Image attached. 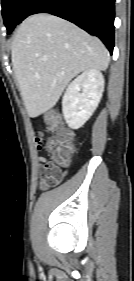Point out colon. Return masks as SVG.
<instances>
[{
	"mask_svg": "<svg viewBox=\"0 0 134 281\" xmlns=\"http://www.w3.org/2000/svg\"><path fill=\"white\" fill-rule=\"evenodd\" d=\"M46 123L54 134L47 142V150L53 161L65 170L74 151L73 134L64 127L60 115L54 111L47 113Z\"/></svg>",
	"mask_w": 134,
	"mask_h": 281,
	"instance_id": "obj_1",
	"label": "colon"
}]
</instances>
